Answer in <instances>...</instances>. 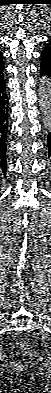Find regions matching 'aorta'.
I'll use <instances>...</instances> for the list:
<instances>
[{
	"mask_svg": "<svg viewBox=\"0 0 51 393\" xmlns=\"http://www.w3.org/2000/svg\"><path fill=\"white\" fill-rule=\"evenodd\" d=\"M39 106L43 116V123L47 129L51 127V84L49 78H40L38 88Z\"/></svg>",
	"mask_w": 51,
	"mask_h": 393,
	"instance_id": "obj_1",
	"label": "aorta"
}]
</instances>
